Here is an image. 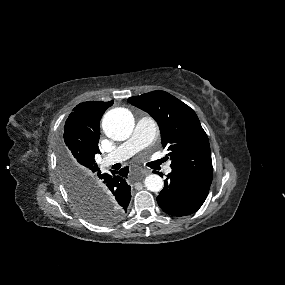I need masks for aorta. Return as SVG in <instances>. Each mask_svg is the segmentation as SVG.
<instances>
[{"mask_svg": "<svg viewBox=\"0 0 285 285\" xmlns=\"http://www.w3.org/2000/svg\"><path fill=\"white\" fill-rule=\"evenodd\" d=\"M104 133L113 140L122 141L131 135L134 128L132 113L125 108H115L105 114L102 121ZM145 187L151 192H159L164 187L163 179L157 174L146 176Z\"/></svg>", "mask_w": 285, "mask_h": 285, "instance_id": "1", "label": "aorta"}]
</instances>
